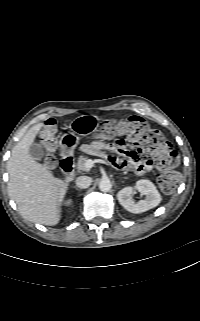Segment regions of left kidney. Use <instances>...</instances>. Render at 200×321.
<instances>
[{
    "label": "left kidney",
    "mask_w": 200,
    "mask_h": 321,
    "mask_svg": "<svg viewBox=\"0 0 200 321\" xmlns=\"http://www.w3.org/2000/svg\"><path fill=\"white\" fill-rule=\"evenodd\" d=\"M135 189L141 194L146 195L145 200L134 202L131 198L133 187H125L117 193L119 203L131 213H142L156 207L161 202V195L155 185L149 180H139L136 182Z\"/></svg>",
    "instance_id": "5707ae66"
}]
</instances>
